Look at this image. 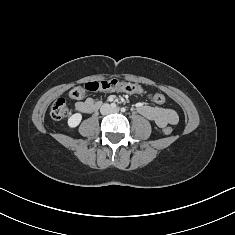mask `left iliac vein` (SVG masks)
I'll return each instance as SVG.
<instances>
[{
	"instance_id": "obj_1",
	"label": "left iliac vein",
	"mask_w": 235,
	"mask_h": 235,
	"mask_svg": "<svg viewBox=\"0 0 235 235\" xmlns=\"http://www.w3.org/2000/svg\"><path fill=\"white\" fill-rule=\"evenodd\" d=\"M112 111L113 112H119V108H114Z\"/></svg>"
}]
</instances>
